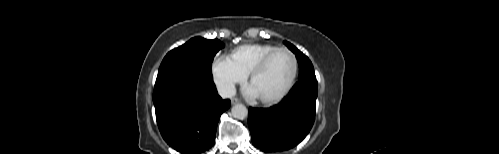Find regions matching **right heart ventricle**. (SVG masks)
Here are the masks:
<instances>
[{"label": "right heart ventricle", "mask_w": 499, "mask_h": 154, "mask_svg": "<svg viewBox=\"0 0 499 154\" xmlns=\"http://www.w3.org/2000/svg\"><path fill=\"white\" fill-rule=\"evenodd\" d=\"M277 47L271 44H245L233 49L228 58L246 75L269 52Z\"/></svg>", "instance_id": "e07e8e85"}]
</instances>
